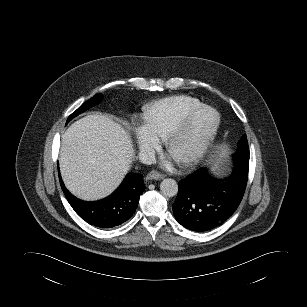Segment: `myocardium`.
I'll return each mask as SVG.
<instances>
[{
  "label": "myocardium",
  "mask_w": 307,
  "mask_h": 307,
  "mask_svg": "<svg viewBox=\"0 0 307 307\" xmlns=\"http://www.w3.org/2000/svg\"><path fill=\"white\" fill-rule=\"evenodd\" d=\"M202 110L211 111L214 114V122L211 128L207 131V133L189 151V153L182 159L176 160L181 165L193 164L198 160H200L203 157V155L206 153L212 141L214 140L220 126L221 118L219 112L214 107L206 104H199L193 107L187 113H185V115L181 118L179 123L175 126V128L169 133V135L164 140L165 150L168 154H170L172 146L184 135L192 118Z\"/></svg>",
  "instance_id": "myocardium-1"
}]
</instances>
